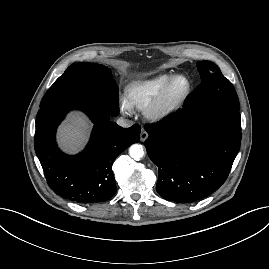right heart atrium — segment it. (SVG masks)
<instances>
[{"instance_id":"obj_1","label":"right heart atrium","mask_w":269,"mask_h":269,"mask_svg":"<svg viewBox=\"0 0 269 269\" xmlns=\"http://www.w3.org/2000/svg\"><path fill=\"white\" fill-rule=\"evenodd\" d=\"M120 107H121L122 111L125 112V113H130L131 112V107L126 102V100H121Z\"/></svg>"}]
</instances>
